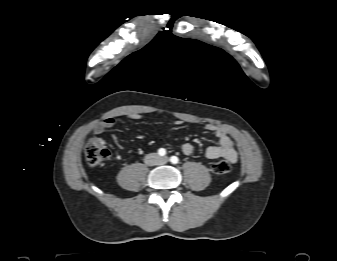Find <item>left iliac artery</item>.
<instances>
[{"label":"left iliac artery","instance_id":"left-iliac-artery-1","mask_svg":"<svg viewBox=\"0 0 337 261\" xmlns=\"http://www.w3.org/2000/svg\"><path fill=\"white\" fill-rule=\"evenodd\" d=\"M170 161H171L172 164H177V163L179 162V159H178V157H176V156H172V157L170 158Z\"/></svg>","mask_w":337,"mask_h":261}]
</instances>
